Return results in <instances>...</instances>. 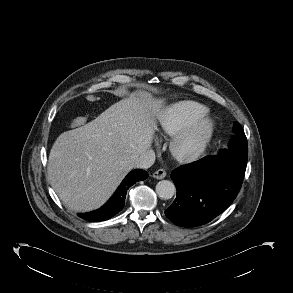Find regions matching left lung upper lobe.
Returning <instances> with one entry per match:
<instances>
[{"mask_svg": "<svg viewBox=\"0 0 293 293\" xmlns=\"http://www.w3.org/2000/svg\"><path fill=\"white\" fill-rule=\"evenodd\" d=\"M234 133L235 136L232 138L229 147L235 145L239 140L247 141L244 131L238 122L234 125Z\"/></svg>", "mask_w": 293, "mask_h": 293, "instance_id": "1", "label": "left lung upper lobe"}]
</instances>
